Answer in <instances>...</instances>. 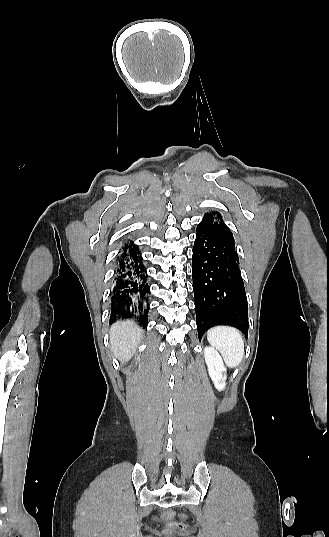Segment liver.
<instances>
[{
  "mask_svg": "<svg viewBox=\"0 0 329 537\" xmlns=\"http://www.w3.org/2000/svg\"><path fill=\"white\" fill-rule=\"evenodd\" d=\"M143 330L131 321H117L110 329V344L114 356L127 362L135 354Z\"/></svg>",
  "mask_w": 329,
  "mask_h": 537,
  "instance_id": "6515ba94",
  "label": "liver"
}]
</instances>
